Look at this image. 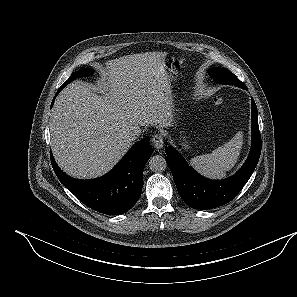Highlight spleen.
Listing matches in <instances>:
<instances>
[{"mask_svg":"<svg viewBox=\"0 0 297 297\" xmlns=\"http://www.w3.org/2000/svg\"><path fill=\"white\" fill-rule=\"evenodd\" d=\"M243 145V133L238 131L235 136L223 146L210 154L194 157L190 164L201 174L210 178H224L226 172L237 163Z\"/></svg>","mask_w":297,"mask_h":297,"instance_id":"1","label":"spleen"}]
</instances>
